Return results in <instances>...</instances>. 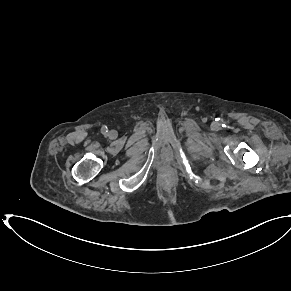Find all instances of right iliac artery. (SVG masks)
Here are the masks:
<instances>
[{"mask_svg":"<svg viewBox=\"0 0 291 291\" xmlns=\"http://www.w3.org/2000/svg\"><path fill=\"white\" fill-rule=\"evenodd\" d=\"M101 131H102V133H106V132H107V127H106V126H103V127L101 128Z\"/></svg>","mask_w":291,"mask_h":291,"instance_id":"1","label":"right iliac artery"}]
</instances>
